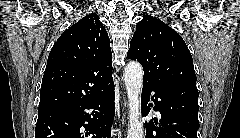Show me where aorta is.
<instances>
[{
    "label": "aorta",
    "instance_id": "aorta-1",
    "mask_svg": "<svg viewBox=\"0 0 240 138\" xmlns=\"http://www.w3.org/2000/svg\"><path fill=\"white\" fill-rule=\"evenodd\" d=\"M124 82L129 102V127L127 138H143L141 116V90L143 85L142 66L135 61L129 62L124 69Z\"/></svg>",
    "mask_w": 240,
    "mask_h": 138
}]
</instances>
